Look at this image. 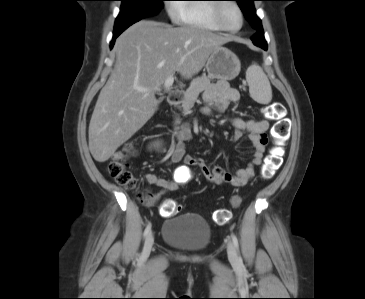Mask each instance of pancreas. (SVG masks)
<instances>
[{
  "label": "pancreas",
  "mask_w": 365,
  "mask_h": 299,
  "mask_svg": "<svg viewBox=\"0 0 365 299\" xmlns=\"http://www.w3.org/2000/svg\"><path fill=\"white\" fill-rule=\"evenodd\" d=\"M210 86V78L203 75L193 79L185 93V99L182 102L184 112L189 111L197 100L199 94Z\"/></svg>",
  "instance_id": "cf45deb5"
}]
</instances>
